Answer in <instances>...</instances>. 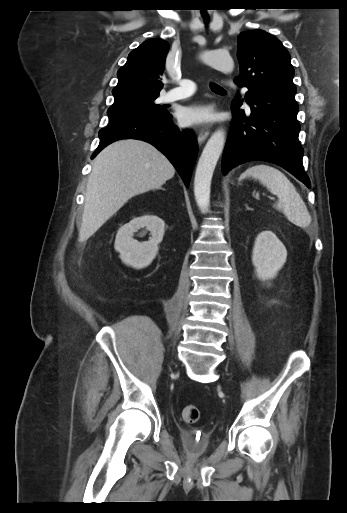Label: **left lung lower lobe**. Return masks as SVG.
Instances as JSON below:
<instances>
[{"mask_svg":"<svg viewBox=\"0 0 347 513\" xmlns=\"http://www.w3.org/2000/svg\"><path fill=\"white\" fill-rule=\"evenodd\" d=\"M293 92L248 89L245 99L251 108L246 116L239 110L243 99L232 101L233 119L223 154V174L252 160L275 163L311 188L302 164L303 149L298 135V105Z\"/></svg>","mask_w":347,"mask_h":513,"instance_id":"left-lung-lower-lobe-1","label":"left lung lower lobe"}]
</instances>
